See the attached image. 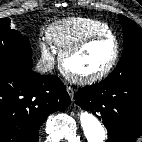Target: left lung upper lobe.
Segmentation results:
<instances>
[{"label":"left lung upper lobe","instance_id":"5c2ea615","mask_svg":"<svg viewBox=\"0 0 142 142\" xmlns=\"http://www.w3.org/2000/svg\"><path fill=\"white\" fill-rule=\"evenodd\" d=\"M124 34V50L116 69L107 79L142 74V30L131 19L119 15Z\"/></svg>","mask_w":142,"mask_h":142}]
</instances>
